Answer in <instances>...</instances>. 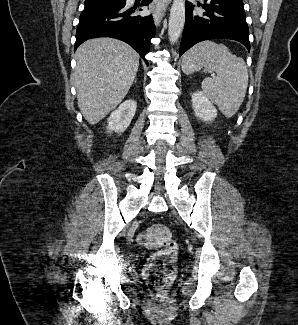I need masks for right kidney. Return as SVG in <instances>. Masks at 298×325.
<instances>
[{"label":"right kidney","instance_id":"obj_1","mask_svg":"<svg viewBox=\"0 0 298 325\" xmlns=\"http://www.w3.org/2000/svg\"><path fill=\"white\" fill-rule=\"evenodd\" d=\"M137 108L136 100L128 98L108 116L107 132H124L129 126Z\"/></svg>","mask_w":298,"mask_h":325}]
</instances>
